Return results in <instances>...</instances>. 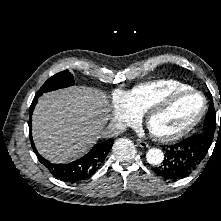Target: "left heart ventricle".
<instances>
[{
    "instance_id": "b2bd125f",
    "label": "left heart ventricle",
    "mask_w": 221,
    "mask_h": 221,
    "mask_svg": "<svg viewBox=\"0 0 221 221\" xmlns=\"http://www.w3.org/2000/svg\"><path fill=\"white\" fill-rule=\"evenodd\" d=\"M201 106L200 96L195 94L184 96L156 114L150 122V127L160 133L174 132L187 124L197 114Z\"/></svg>"
}]
</instances>
